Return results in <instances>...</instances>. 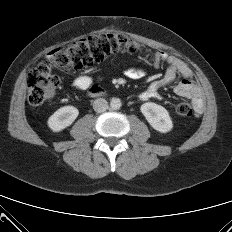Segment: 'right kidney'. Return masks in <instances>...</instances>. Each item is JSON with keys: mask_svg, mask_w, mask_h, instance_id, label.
Returning a JSON list of instances; mask_svg holds the SVG:
<instances>
[{"mask_svg": "<svg viewBox=\"0 0 232 232\" xmlns=\"http://www.w3.org/2000/svg\"><path fill=\"white\" fill-rule=\"evenodd\" d=\"M79 111L74 106H64L59 108L47 121L48 127L54 131L59 132L70 126L78 117Z\"/></svg>", "mask_w": 232, "mask_h": 232, "instance_id": "obj_1", "label": "right kidney"}]
</instances>
